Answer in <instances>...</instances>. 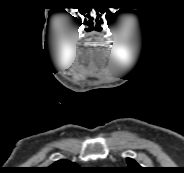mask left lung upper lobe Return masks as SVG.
Listing matches in <instances>:
<instances>
[{
  "instance_id": "5c2ea615",
  "label": "left lung upper lobe",
  "mask_w": 184,
  "mask_h": 173,
  "mask_svg": "<svg viewBox=\"0 0 184 173\" xmlns=\"http://www.w3.org/2000/svg\"><path fill=\"white\" fill-rule=\"evenodd\" d=\"M127 162H128V165H129L127 170H129L130 172L139 173V172L142 171L141 166H139V164L135 160H133L131 158H127Z\"/></svg>"
}]
</instances>
